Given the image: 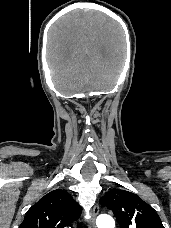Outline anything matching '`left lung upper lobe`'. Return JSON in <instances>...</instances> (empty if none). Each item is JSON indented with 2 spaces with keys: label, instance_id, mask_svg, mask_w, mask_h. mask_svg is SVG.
Wrapping results in <instances>:
<instances>
[{
  "label": "left lung upper lobe",
  "instance_id": "5c2ea615",
  "mask_svg": "<svg viewBox=\"0 0 171 228\" xmlns=\"http://www.w3.org/2000/svg\"><path fill=\"white\" fill-rule=\"evenodd\" d=\"M100 203L113 211L121 228H164L154 209L132 192L112 189Z\"/></svg>",
  "mask_w": 171,
  "mask_h": 228
}]
</instances>
